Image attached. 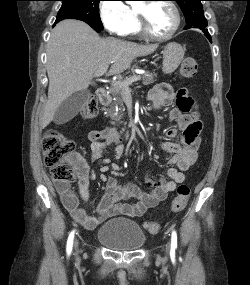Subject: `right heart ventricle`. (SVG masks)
<instances>
[{
	"label": "right heart ventricle",
	"mask_w": 250,
	"mask_h": 285,
	"mask_svg": "<svg viewBox=\"0 0 250 285\" xmlns=\"http://www.w3.org/2000/svg\"><path fill=\"white\" fill-rule=\"evenodd\" d=\"M131 11H132V14H133V22H132V25H131V27H130V29L128 30L127 33L138 34L140 32V30H139L137 14H136L135 10H131Z\"/></svg>",
	"instance_id": "e07e8e85"
}]
</instances>
